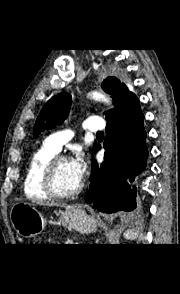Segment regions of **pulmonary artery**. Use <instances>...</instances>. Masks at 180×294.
<instances>
[{
	"label": "pulmonary artery",
	"mask_w": 180,
	"mask_h": 294,
	"mask_svg": "<svg viewBox=\"0 0 180 294\" xmlns=\"http://www.w3.org/2000/svg\"><path fill=\"white\" fill-rule=\"evenodd\" d=\"M83 128L87 131L103 130L105 128V122L99 116H92L86 120ZM72 136L73 133L71 131L54 133L46 138L45 145L58 153Z\"/></svg>",
	"instance_id": "1"
}]
</instances>
